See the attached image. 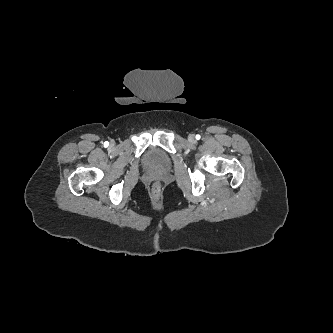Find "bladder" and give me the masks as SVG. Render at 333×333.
Masks as SVG:
<instances>
[{
	"label": "bladder",
	"instance_id": "31cf9c89",
	"mask_svg": "<svg viewBox=\"0 0 333 333\" xmlns=\"http://www.w3.org/2000/svg\"><path fill=\"white\" fill-rule=\"evenodd\" d=\"M142 163L149 171L162 173L169 169L170 158L165 150L153 147L144 153Z\"/></svg>",
	"mask_w": 333,
	"mask_h": 333
}]
</instances>
